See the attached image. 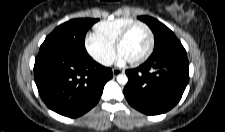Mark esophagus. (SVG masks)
Returning a JSON list of instances; mask_svg holds the SVG:
<instances>
[{"instance_id":"esophagus-1","label":"esophagus","mask_w":225,"mask_h":132,"mask_svg":"<svg viewBox=\"0 0 225 132\" xmlns=\"http://www.w3.org/2000/svg\"><path fill=\"white\" fill-rule=\"evenodd\" d=\"M112 72H113V75L116 77L119 74H121L123 71L121 69L115 68V69L112 70Z\"/></svg>"}]
</instances>
